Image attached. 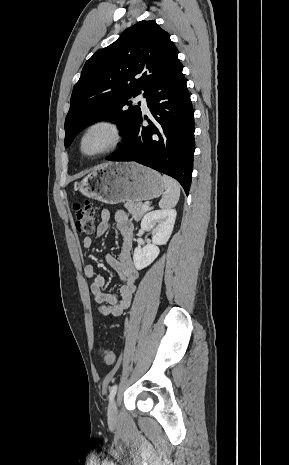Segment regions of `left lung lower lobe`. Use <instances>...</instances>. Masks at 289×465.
Returning a JSON list of instances; mask_svg holds the SVG:
<instances>
[{
    "instance_id": "left-lung-lower-lobe-1",
    "label": "left lung lower lobe",
    "mask_w": 289,
    "mask_h": 465,
    "mask_svg": "<svg viewBox=\"0 0 289 465\" xmlns=\"http://www.w3.org/2000/svg\"><path fill=\"white\" fill-rule=\"evenodd\" d=\"M154 122L140 115L111 161H135L175 178L188 195L195 150L194 112L182 66L144 92Z\"/></svg>"
}]
</instances>
